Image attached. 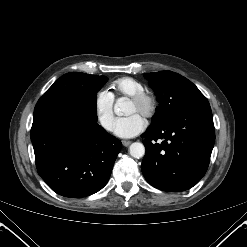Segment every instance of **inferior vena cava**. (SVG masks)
<instances>
[{"label": "inferior vena cava", "instance_id": "obj_1", "mask_svg": "<svg viewBox=\"0 0 247 247\" xmlns=\"http://www.w3.org/2000/svg\"><path fill=\"white\" fill-rule=\"evenodd\" d=\"M103 126L106 129L111 130L112 129V122L111 121H107V122L103 123Z\"/></svg>", "mask_w": 247, "mask_h": 247}]
</instances>
